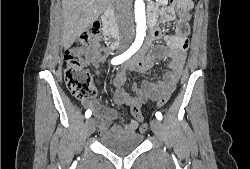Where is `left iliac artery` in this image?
<instances>
[{
    "mask_svg": "<svg viewBox=\"0 0 250 169\" xmlns=\"http://www.w3.org/2000/svg\"><path fill=\"white\" fill-rule=\"evenodd\" d=\"M156 118L158 120H162V114L160 112H156Z\"/></svg>",
    "mask_w": 250,
    "mask_h": 169,
    "instance_id": "left-iliac-artery-1",
    "label": "left iliac artery"
}]
</instances>
